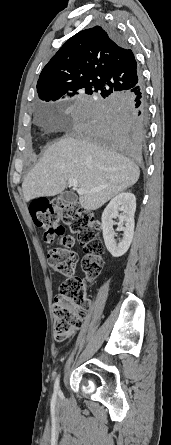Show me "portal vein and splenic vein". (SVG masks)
<instances>
[{"mask_svg": "<svg viewBox=\"0 0 171 445\" xmlns=\"http://www.w3.org/2000/svg\"><path fill=\"white\" fill-rule=\"evenodd\" d=\"M68 184H69V186L75 188L76 191H77V193H78L79 195H83V194L86 193V192H97V191L100 190V188H95V189H91L90 191H86V190H84V189H82V188H79V186H78V182H77V180L74 179V178H70V179H68Z\"/></svg>", "mask_w": 171, "mask_h": 445, "instance_id": "1", "label": "portal vein and splenic vein"}]
</instances>
